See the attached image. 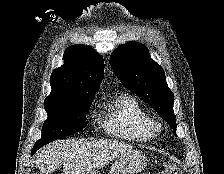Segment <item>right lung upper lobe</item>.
Returning a JSON list of instances; mask_svg holds the SVG:
<instances>
[{"instance_id": "obj_1", "label": "right lung upper lobe", "mask_w": 224, "mask_h": 174, "mask_svg": "<svg viewBox=\"0 0 224 174\" xmlns=\"http://www.w3.org/2000/svg\"><path fill=\"white\" fill-rule=\"evenodd\" d=\"M63 59V66L51 75L52 91L45 101L62 102L93 96L103 79L102 57L90 47L77 45L67 49Z\"/></svg>"}]
</instances>
